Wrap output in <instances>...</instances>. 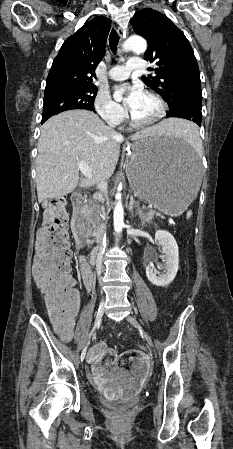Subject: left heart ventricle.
Here are the masks:
<instances>
[{
	"label": "left heart ventricle",
	"mask_w": 233,
	"mask_h": 449,
	"mask_svg": "<svg viewBox=\"0 0 233 449\" xmlns=\"http://www.w3.org/2000/svg\"><path fill=\"white\" fill-rule=\"evenodd\" d=\"M158 110V104L151 97L144 95L132 114L140 121H147L152 119Z\"/></svg>",
	"instance_id": "left-heart-ventricle-1"
}]
</instances>
